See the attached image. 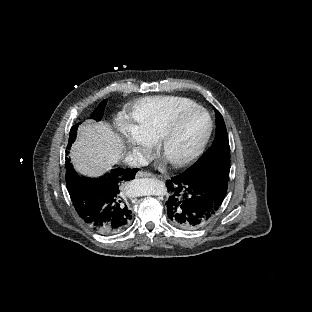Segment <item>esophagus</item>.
Masks as SVG:
<instances>
[{"label": "esophagus", "instance_id": "obj_1", "mask_svg": "<svg viewBox=\"0 0 312 312\" xmlns=\"http://www.w3.org/2000/svg\"><path fill=\"white\" fill-rule=\"evenodd\" d=\"M137 178L141 177H148V178H156L152 173H149L147 171H138L136 174Z\"/></svg>", "mask_w": 312, "mask_h": 312}]
</instances>
